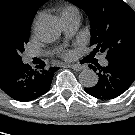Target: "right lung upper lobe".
<instances>
[{
    "mask_svg": "<svg viewBox=\"0 0 135 135\" xmlns=\"http://www.w3.org/2000/svg\"><path fill=\"white\" fill-rule=\"evenodd\" d=\"M17 8L26 19L32 21L37 9L42 6L48 0H7Z\"/></svg>",
    "mask_w": 135,
    "mask_h": 135,
    "instance_id": "1",
    "label": "right lung upper lobe"
}]
</instances>
